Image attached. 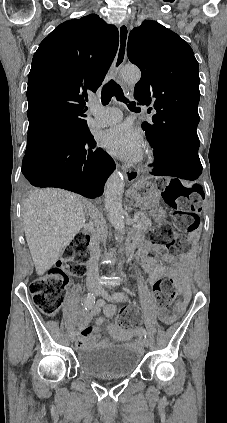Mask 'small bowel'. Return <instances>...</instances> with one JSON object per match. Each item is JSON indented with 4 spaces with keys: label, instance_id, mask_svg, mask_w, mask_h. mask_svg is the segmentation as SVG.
I'll return each mask as SVG.
<instances>
[{
    "label": "small bowel",
    "instance_id": "obj_1",
    "mask_svg": "<svg viewBox=\"0 0 227 423\" xmlns=\"http://www.w3.org/2000/svg\"><path fill=\"white\" fill-rule=\"evenodd\" d=\"M141 265L147 273L151 284H155L167 274L166 270L157 265L154 259L148 255L141 256ZM179 285L183 298L175 303L173 311L170 313L168 310H159L158 312L159 319L168 325L174 323L182 315L189 301V292L187 290V280L185 276L180 278ZM115 312L116 307L114 305L105 304L103 301H98L93 305L89 312L84 315L79 322L81 334L77 341V346L79 348H86L94 344L99 339L100 328L107 323L109 318L115 315ZM155 316L153 309L146 311V319L151 321L154 320ZM93 321H95L94 325L92 324ZM108 330L111 336L116 340H129L142 335L141 329L127 331L112 324L108 325ZM105 342H108V340Z\"/></svg>",
    "mask_w": 227,
    "mask_h": 423
}]
</instances>
